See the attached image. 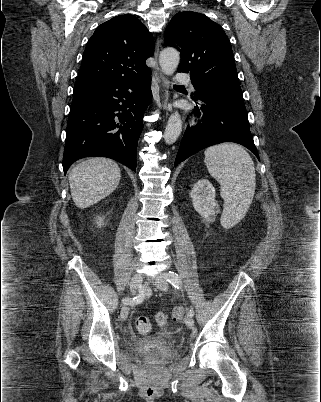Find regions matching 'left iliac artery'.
Instances as JSON below:
<instances>
[{"mask_svg":"<svg viewBox=\"0 0 321 402\" xmlns=\"http://www.w3.org/2000/svg\"><path fill=\"white\" fill-rule=\"evenodd\" d=\"M166 280L175 288L180 289L182 287V281L177 273L174 271H169L166 273ZM188 316H194V310L190 309Z\"/></svg>","mask_w":321,"mask_h":402,"instance_id":"left-iliac-artery-1","label":"left iliac artery"}]
</instances>
